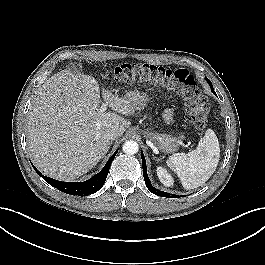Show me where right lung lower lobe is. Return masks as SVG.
Instances as JSON below:
<instances>
[{"instance_id": "98d812e1", "label": "right lung lower lobe", "mask_w": 265, "mask_h": 265, "mask_svg": "<svg viewBox=\"0 0 265 265\" xmlns=\"http://www.w3.org/2000/svg\"><path fill=\"white\" fill-rule=\"evenodd\" d=\"M118 150L110 157L104 168L94 177L85 182H61L46 176H43L33 165L35 171L51 186L71 195L87 196L98 191L105 183L110 165Z\"/></svg>"}]
</instances>
